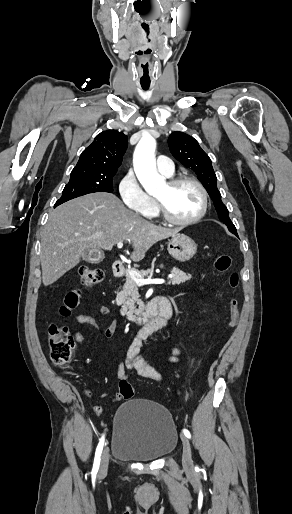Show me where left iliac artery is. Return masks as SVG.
Returning a JSON list of instances; mask_svg holds the SVG:
<instances>
[{
  "mask_svg": "<svg viewBox=\"0 0 292 514\" xmlns=\"http://www.w3.org/2000/svg\"><path fill=\"white\" fill-rule=\"evenodd\" d=\"M183 433H184V435H185L187 438H189V439L191 438V434H190V432H189L187 429H185V428H184V429H183ZM196 468H197V467H196Z\"/></svg>",
  "mask_w": 292,
  "mask_h": 514,
  "instance_id": "obj_1",
  "label": "left iliac artery"
}]
</instances>
